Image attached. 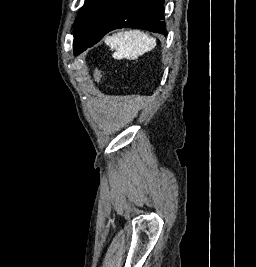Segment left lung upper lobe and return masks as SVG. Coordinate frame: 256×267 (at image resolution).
I'll return each mask as SVG.
<instances>
[{
    "label": "left lung upper lobe",
    "mask_w": 256,
    "mask_h": 267,
    "mask_svg": "<svg viewBox=\"0 0 256 267\" xmlns=\"http://www.w3.org/2000/svg\"><path fill=\"white\" fill-rule=\"evenodd\" d=\"M163 4L164 0H86L75 23L74 55L118 28L166 34Z\"/></svg>",
    "instance_id": "left-lung-upper-lobe-1"
}]
</instances>
